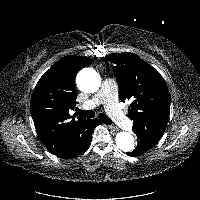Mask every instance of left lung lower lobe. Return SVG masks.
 I'll return each mask as SVG.
<instances>
[{
  "instance_id": "obj_1",
  "label": "left lung lower lobe",
  "mask_w": 200,
  "mask_h": 200,
  "mask_svg": "<svg viewBox=\"0 0 200 200\" xmlns=\"http://www.w3.org/2000/svg\"><path fill=\"white\" fill-rule=\"evenodd\" d=\"M136 136H137V146L132 152L127 153L128 156L135 157V156L144 154L157 144V141L154 139L140 136V135H136Z\"/></svg>"
}]
</instances>
